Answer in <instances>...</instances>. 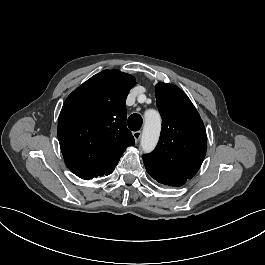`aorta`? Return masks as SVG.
<instances>
[{
  "label": "aorta",
  "instance_id": "1",
  "mask_svg": "<svg viewBox=\"0 0 265 265\" xmlns=\"http://www.w3.org/2000/svg\"><path fill=\"white\" fill-rule=\"evenodd\" d=\"M145 126L143 129L141 145L145 150H151L157 143L159 136V125L153 117H158V113L155 111H148L146 113Z\"/></svg>",
  "mask_w": 265,
  "mask_h": 265
}]
</instances>
